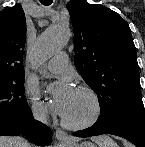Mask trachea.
Segmentation results:
<instances>
[{"mask_svg": "<svg viewBox=\"0 0 145 147\" xmlns=\"http://www.w3.org/2000/svg\"><path fill=\"white\" fill-rule=\"evenodd\" d=\"M41 3L45 6H49L52 3V0H41Z\"/></svg>", "mask_w": 145, "mask_h": 147, "instance_id": "1", "label": "trachea"}]
</instances>
